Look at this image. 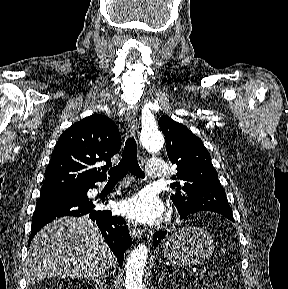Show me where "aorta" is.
Listing matches in <instances>:
<instances>
[{"mask_svg": "<svg viewBox=\"0 0 288 289\" xmlns=\"http://www.w3.org/2000/svg\"><path fill=\"white\" fill-rule=\"evenodd\" d=\"M142 145L150 152H158L164 145V139L156 126L145 128L141 134ZM148 249L144 243L135 247L126 262V289H143L142 277L146 265Z\"/></svg>", "mask_w": 288, "mask_h": 289, "instance_id": "1", "label": "aorta"}]
</instances>
